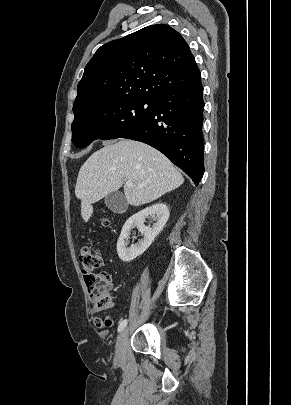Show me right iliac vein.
<instances>
[{"label": "right iliac vein", "mask_w": 291, "mask_h": 405, "mask_svg": "<svg viewBox=\"0 0 291 405\" xmlns=\"http://www.w3.org/2000/svg\"><path fill=\"white\" fill-rule=\"evenodd\" d=\"M128 342V329H123L116 341L115 357L118 362H122L125 358L126 346Z\"/></svg>", "instance_id": "1"}]
</instances>
